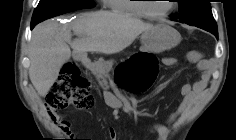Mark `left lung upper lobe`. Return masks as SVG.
<instances>
[{"label":"left lung upper lobe","mask_w":236,"mask_h":140,"mask_svg":"<svg viewBox=\"0 0 236 140\" xmlns=\"http://www.w3.org/2000/svg\"><path fill=\"white\" fill-rule=\"evenodd\" d=\"M179 21L196 26L218 36L217 25L211 12L210 0H177ZM175 20V19H174Z\"/></svg>","instance_id":"left-lung-upper-lobe-1"}]
</instances>
